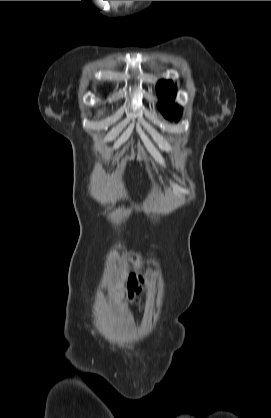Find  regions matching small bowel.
I'll return each instance as SVG.
<instances>
[{
	"instance_id": "1",
	"label": "small bowel",
	"mask_w": 271,
	"mask_h": 418,
	"mask_svg": "<svg viewBox=\"0 0 271 418\" xmlns=\"http://www.w3.org/2000/svg\"><path fill=\"white\" fill-rule=\"evenodd\" d=\"M142 282H143L142 279H137L134 276H131L127 280L124 281V287L126 289L125 295L133 303L139 302V297L143 292V288H142V285H141ZM125 312L126 313H131L132 312V307L131 306H126L125 307Z\"/></svg>"
}]
</instances>
